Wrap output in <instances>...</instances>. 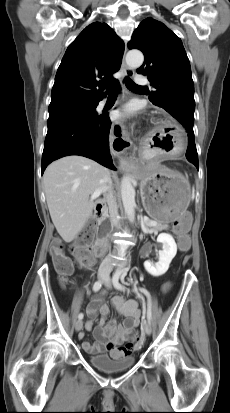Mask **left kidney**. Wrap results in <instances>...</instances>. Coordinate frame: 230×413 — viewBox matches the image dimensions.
Here are the masks:
<instances>
[{
	"label": "left kidney",
	"mask_w": 230,
	"mask_h": 413,
	"mask_svg": "<svg viewBox=\"0 0 230 413\" xmlns=\"http://www.w3.org/2000/svg\"><path fill=\"white\" fill-rule=\"evenodd\" d=\"M157 242L162 243L163 245V250L159 253V261L155 264L150 261H146L144 263L146 271L156 277L167 272L172 259L177 253V245L174 238L170 234H159L157 237Z\"/></svg>",
	"instance_id": "obj_1"
}]
</instances>
